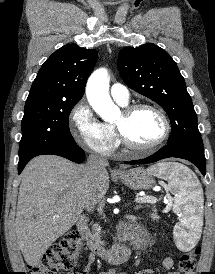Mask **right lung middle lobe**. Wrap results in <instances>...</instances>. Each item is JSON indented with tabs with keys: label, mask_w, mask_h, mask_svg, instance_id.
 Returning <instances> with one entry per match:
<instances>
[{
	"label": "right lung middle lobe",
	"mask_w": 215,
	"mask_h": 274,
	"mask_svg": "<svg viewBox=\"0 0 215 274\" xmlns=\"http://www.w3.org/2000/svg\"><path fill=\"white\" fill-rule=\"evenodd\" d=\"M74 102H26L22 119L19 160H29L48 150L75 145L68 119Z\"/></svg>",
	"instance_id": "dd1d6c3e"
}]
</instances>
